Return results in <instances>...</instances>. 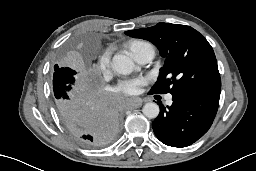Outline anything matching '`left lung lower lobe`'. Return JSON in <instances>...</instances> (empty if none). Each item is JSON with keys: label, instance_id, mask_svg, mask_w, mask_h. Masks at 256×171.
I'll return each mask as SVG.
<instances>
[{"label": "left lung lower lobe", "instance_id": "obj_1", "mask_svg": "<svg viewBox=\"0 0 256 171\" xmlns=\"http://www.w3.org/2000/svg\"><path fill=\"white\" fill-rule=\"evenodd\" d=\"M219 96L193 90L172 94L173 104L167 109L161 105L159 116L152 122L155 135L172 147L191 145L212 125Z\"/></svg>", "mask_w": 256, "mask_h": 171}]
</instances>
